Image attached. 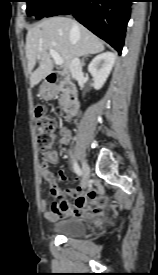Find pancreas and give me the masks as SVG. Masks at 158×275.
Here are the masks:
<instances>
[{
	"label": "pancreas",
	"mask_w": 158,
	"mask_h": 275,
	"mask_svg": "<svg viewBox=\"0 0 158 275\" xmlns=\"http://www.w3.org/2000/svg\"><path fill=\"white\" fill-rule=\"evenodd\" d=\"M61 91H62V95H61V99L59 100L60 103L63 102V97H64V94H65V89L62 88Z\"/></svg>",
	"instance_id": "obj_1"
}]
</instances>
